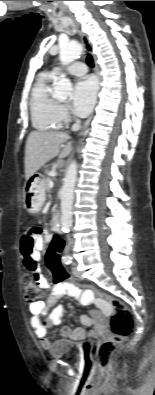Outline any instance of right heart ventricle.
Instances as JSON below:
<instances>
[{
  "instance_id": "1",
  "label": "right heart ventricle",
  "mask_w": 155,
  "mask_h": 395,
  "mask_svg": "<svg viewBox=\"0 0 155 395\" xmlns=\"http://www.w3.org/2000/svg\"><path fill=\"white\" fill-rule=\"evenodd\" d=\"M56 79L51 73L38 76L30 97L31 121L38 130H55L62 126L59 117V103L51 92V84Z\"/></svg>"
}]
</instances>
